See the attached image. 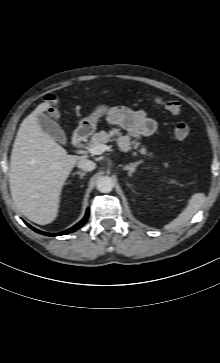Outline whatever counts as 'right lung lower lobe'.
Segmentation results:
<instances>
[{
    "instance_id": "obj_1",
    "label": "right lung lower lobe",
    "mask_w": 220,
    "mask_h": 363,
    "mask_svg": "<svg viewBox=\"0 0 220 363\" xmlns=\"http://www.w3.org/2000/svg\"><path fill=\"white\" fill-rule=\"evenodd\" d=\"M88 216H89V209H87L86 211V215L85 217L79 222L77 223L76 225H74L73 227H71L70 229L66 230V231H63V232H60V233H46V232H42L40 230H37L35 229L34 227L28 225L30 228H32L34 231L40 233V234H43V235H46V236H58V235H65V234H68V233H71V232H74L76 230H78L88 219Z\"/></svg>"
}]
</instances>
